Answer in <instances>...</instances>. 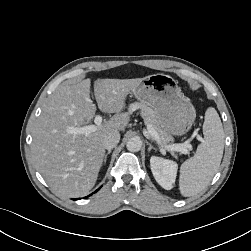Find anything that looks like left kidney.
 Segmentation results:
<instances>
[{
    "label": "left kidney",
    "mask_w": 251,
    "mask_h": 251,
    "mask_svg": "<svg viewBox=\"0 0 251 251\" xmlns=\"http://www.w3.org/2000/svg\"><path fill=\"white\" fill-rule=\"evenodd\" d=\"M150 167L157 183L166 190H171L177 176L178 164L172 160L152 156Z\"/></svg>",
    "instance_id": "1"
}]
</instances>
